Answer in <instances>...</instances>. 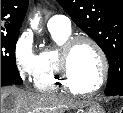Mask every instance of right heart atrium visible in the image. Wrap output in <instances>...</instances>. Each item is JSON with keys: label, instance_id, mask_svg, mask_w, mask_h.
I'll use <instances>...</instances> for the list:
<instances>
[{"label": "right heart atrium", "instance_id": "right-heart-atrium-1", "mask_svg": "<svg viewBox=\"0 0 123 113\" xmlns=\"http://www.w3.org/2000/svg\"><path fill=\"white\" fill-rule=\"evenodd\" d=\"M16 71L23 82H31L37 69L38 55L34 49L33 38L28 32L18 36L13 48Z\"/></svg>", "mask_w": 123, "mask_h": 113}]
</instances>
